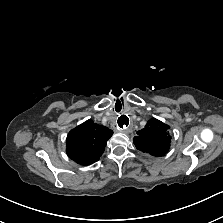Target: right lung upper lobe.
Wrapping results in <instances>:
<instances>
[{"mask_svg": "<svg viewBox=\"0 0 223 223\" xmlns=\"http://www.w3.org/2000/svg\"><path fill=\"white\" fill-rule=\"evenodd\" d=\"M112 134L109 128L87 120L69 132L67 155L80 165H90L99 160Z\"/></svg>", "mask_w": 223, "mask_h": 223, "instance_id": "obj_1", "label": "right lung upper lobe"}]
</instances>
